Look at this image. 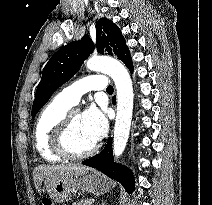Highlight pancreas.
Segmentation results:
<instances>
[{"instance_id": "pancreas-1", "label": "pancreas", "mask_w": 212, "mask_h": 205, "mask_svg": "<svg viewBox=\"0 0 212 205\" xmlns=\"http://www.w3.org/2000/svg\"><path fill=\"white\" fill-rule=\"evenodd\" d=\"M92 203H93L92 199H84L74 203L73 205H92Z\"/></svg>"}]
</instances>
